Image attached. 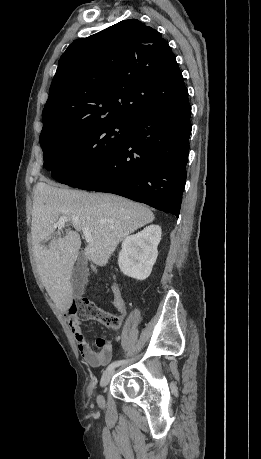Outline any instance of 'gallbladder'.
Instances as JSON below:
<instances>
[{"instance_id":"gallbladder-1","label":"gallbladder","mask_w":261,"mask_h":459,"mask_svg":"<svg viewBox=\"0 0 261 459\" xmlns=\"http://www.w3.org/2000/svg\"><path fill=\"white\" fill-rule=\"evenodd\" d=\"M87 258L83 251L80 252L76 267L72 276L73 292L76 296L84 293V286L87 282Z\"/></svg>"}]
</instances>
